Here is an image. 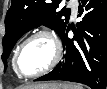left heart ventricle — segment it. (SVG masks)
I'll return each mask as SVG.
<instances>
[{
	"label": "left heart ventricle",
	"instance_id": "obj_1",
	"mask_svg": "<svg viewBox=\"0 0 107 89\" xmlns=\"http://www.w3.org/2000/svg\"><path fill=\"white\" fill-rule=\"evenodd\" d=\"M54 56V46L45 36L28 41L18 57V67L23 74H33L46 68Z\"/></svg>",
	"mask_w": 107,
	"mask_h": 89
}]
</instances>
